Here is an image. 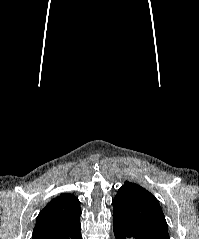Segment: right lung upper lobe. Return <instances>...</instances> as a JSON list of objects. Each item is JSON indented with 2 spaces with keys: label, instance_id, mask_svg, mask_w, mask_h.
<instances>
[{
  "label": "right lung upper lobe",
  "instance_id": "1",
  "mask_svg": "<svg viewBox=\"0 0 199 239\" xmlns=\"http://www.w3.org/2000/svg\"><path fill=\"white\" fill-rule=\"evenodd\" d=\"M80 202L71 194L52 199L37 217L34 231L52 229L79 219Z\"/></svg>",
  "mask_w": 199,
  "mask_h": 239
}]
</instances>
